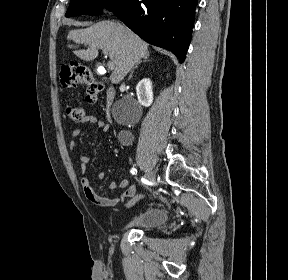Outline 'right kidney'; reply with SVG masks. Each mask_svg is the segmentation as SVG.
<instances>
[{
    "label": "right kidney",
    "mask_w": 288,
    "mask_h": 280,
    "mask_svg": "<svg viewBox=\"0 0 288 280\" xmlns=\"http://www.w3.org/2000/svg\"><path fill=\"white\" fill-rule=\"evenodd\" d=\"M138 102L145 107H149L153 102L152 83L150 79H142L136 86Z\"/></svg>",
    "instance_id": "ca27d5eb"
}]
</instances>
